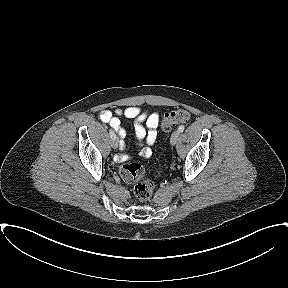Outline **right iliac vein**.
Wrapping results in <instances>:
<instances>
[{
  "label": "right iliac vein",
  "instance_id": "63e3f726",
  "mask_svg": "<svg viewBox=\"0 0 288 288\" xmlns=\"http://www.w3.org/2000/svg\"><path fill=\"white\" fill-rule=\"evenodd\" d=\"M118 145H119V140H118V138H117V137L112 138V139H111V146H112V148L117 149Z\"/></svg>",
  "mask_w": 288,
  "mask_h": 288
}]
</instances>
